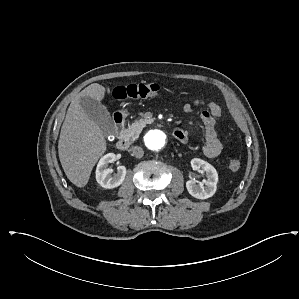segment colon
<instances>
[{"label":"colon","mask_w":299,"mask_h":299,"mask_svg":"<svg viewBox=\"0 0 299 299\" xmlns=\"http://www.w3.org/2000/svg\"><path fill=\"white\" fill-rule=\"evenodd\" d=\"M160 87L156 83H136L127 86H118L113 89L112 96L116 100H133L155 97L159 93ZM229 168L233 171L241 167V161L238 158L229 160Z\"/></svg>","instance_id":"1"}]
</instances>
